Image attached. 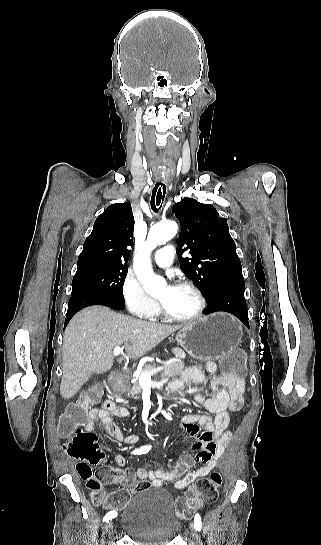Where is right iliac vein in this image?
I'll use <instances>...</instances> for the list:
<instances>
[{
    "label": "right iliac vein",
    "instance_id": "1",
    "mask_svg": "<svg viewBox=\"0 0 321 545\" xmlns=\"http://www.w3.org/2000/svg\"><path fill=\"white\" fill-rule=\"evenodd\" d=\"M113 528V524L111 521H108L105 525V532H109Z\"/></svg>",
    "mask_w": 321,
    "mask_h": 545
}]
</instances>
